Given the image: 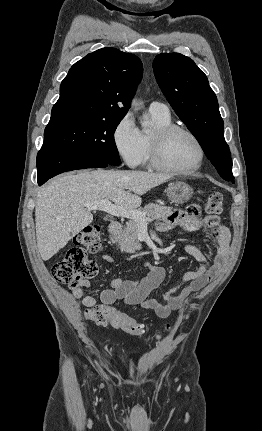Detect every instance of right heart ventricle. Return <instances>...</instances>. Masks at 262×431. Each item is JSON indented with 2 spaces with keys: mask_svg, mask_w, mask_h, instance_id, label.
<instances>
[{
  "mask_svg": "<svg viewBox=\"0 0 262 431\" xmlns=\"http://www.w3.org/2000/svg\"><path fill=\"white\" fill-rule=\"evenodd\" d=\"M150 116L155 123L156 128L160 126H167L172 125V119L170 114L164 115L156 112H152L149 110ZM153 131H141V138L143 142L144 147V153L141 163H148L151 164V158H150V137L152 135Z\"/></svg>",
  "mask_w": 262,
  "mask_h": 431,
  "instance_id": "1",
  "label": "right heart ventricle"
}]
</instances>
